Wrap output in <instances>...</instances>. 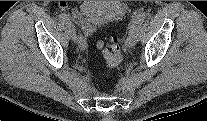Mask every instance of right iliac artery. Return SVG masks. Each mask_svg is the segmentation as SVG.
<instances>
[{"label":"right iliac artery","instance_id":"right-iliac-artery-1","mask_svg":"<svg viewBox=\"0 0 207 121\" xmlns=\"http://www.w3.org/2000/svg\"><path fill=\"white\" fill-rule=\"evenodd\" d=\"M59 19L61 22H66L67 24L70 22V20L66 14H60ZM79 43H80V45L84 46V43H83V40L81 39V37L79 38Z\"/></svg>","mask_w":207,"mask_h":121}]
</instances>
